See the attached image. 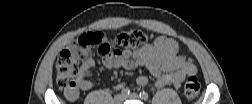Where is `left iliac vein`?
Returning a JSON list of instances; mask_svg holds the SVG:
<instances>
[{
    "label": "left iliac vein",
    "instance_id": "4c4485c4",
    "mask_svg": "<svg viewBox=\"0 0 252 104\" xmlns=\"http://www.w3.org/2000/svg\"><path fill=\"white\" fill-rule=\"evenodd\" d=\"M131 98V99H138L139 95L137 93H131L129 96H126L125 99Z\"/></svg>",
    "mask_w": 252,
    "mask_h": 104
}]
</instances>
